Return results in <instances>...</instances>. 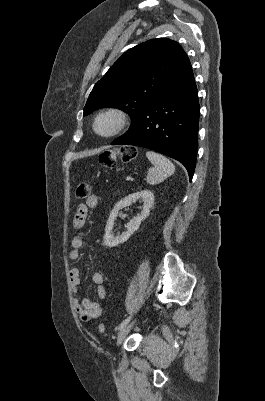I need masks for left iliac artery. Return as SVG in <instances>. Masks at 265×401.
I'll return each mask as SVG.
<instances>
[{
	"label": "left iliac artery",
	"mask_w": 265,
	"mask_h": 401,
	"mask_svg": "<svg viewBox=\"0 0 265 401\" xmlns=\"http://www.w3.org/2000/svg\"><path fill=\"white\" fill-rule=\"evenodd\" d=\"M130 319H131V316H129V317H127L125 320H123V321L119 324L118 329L121 330L122 328H124V327L128 324V322L130 321Z\"/></svg>",
	"instance_id": "left-iliac-artery-1"
}]
</instances>
